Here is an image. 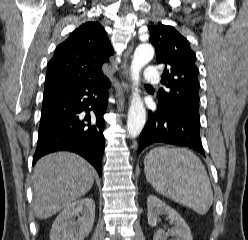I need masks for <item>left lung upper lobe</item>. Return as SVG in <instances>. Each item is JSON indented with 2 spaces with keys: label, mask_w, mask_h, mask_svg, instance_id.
I'll return each instance as SVG.
<instances>
[{
  "label": "left lung upper lobe",
  "mask_w": 248,
  "mask_h": 240,
  "mask_svg": "<svg viewBox=\"0 0 248 240\" xmlns=\"http://www.w3.org/2000/svg\"><path fill=\"white\" fill-rule=\"evenodd\" d=\"M148 28L149 40L156 49L157 63L165 65L161 83L169 88L168 91L159 90L158 105L167 109L199 111L196 55L188 40L172 26L159 23Z\"/></svg>",
  "instance_id": "5c2ea615"
}]
</instances>
